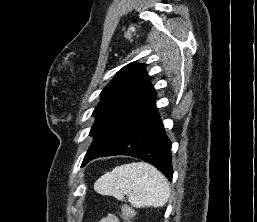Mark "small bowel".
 Wrapping results in <instances>:
<instances>
[{
    "label": "small bowel",
    "mask_w": 257,
    "mask_h": 222,
    "mask_svg": "<svg viewBox=\"0 0 257 222\" xmlns=\"http://www.w3.org/2000/svg\"><path fill=\"white\" fill-rule=\"evenodd\" d=\"M99 222H120V221L115 215L109 214Z\"/></svg>",
    "instance_id": "obj_1"
}]
</instances>
